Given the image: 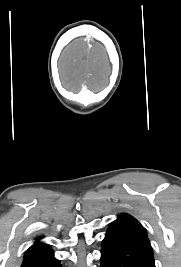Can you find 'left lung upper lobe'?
<instances>
[{
	"label": "left lung upper lobe",
	"mask_w": 181,
	"mask_h": 267,
	"mask_svg": "<svg viewBox=\"0 0 181 267\" xmlns=\"http://www.w3.org/2000/svg\"><path fill=\"white\" fill-rule=\"evenodd\" d=\"M114 222L126 224V225L134 228L135 230H137L141 234L147 236L144 227L136 219H134L132 216H130L128 214H120L118 216V218L115 221H113L112 223H114Z\"/></svg>",
	"instance_id": "left-lung-upper-lobe-1"
}]
</instances>
